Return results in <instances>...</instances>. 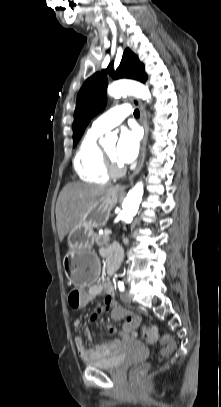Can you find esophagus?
<instances>
[{
    "label": "esophagus",
    "mask_w": 221,
    "mask_h": 407,
    "mask_svg": "<svg viewBox=\"0 0 221 407\" xmlns=\"http://www.w3.org/2000/svg\"><path fill=\"white\" fill-rule=\"evenodd\" d=\"M131 102L133 103V105L137 106L140 110V121L144 128V137H143L142 144H141L139 162H138L137 168L135 169L133 174L130 176V178H129L130 180H132L134 178V176H136L140 172V170L143 166V162L145 159V153H146V144H147L148 133H149L148 123H147V114H146L144 105L142 104V102L140 100H137L136 98H131ZM112 191L116 194L124 193L125 186L118 184L112 188Z\"/></svg>",
    "instance_id": "34e87169"
}]
</instances>
